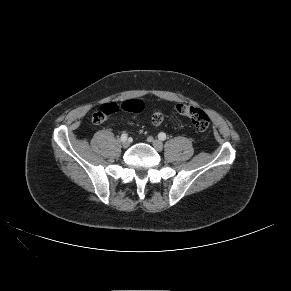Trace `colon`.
I'll return each mask as SVG.
<instances>
[{
    "mask_svg": "<svg viewBox=\"0 0 291 291\" xmlns=\"http://www.w3.org/2000/svg\"><path fill=\"white\" fill-rule=\"evenodd\" d=\"M143 108L144 103L139 99L126 100L120 105L114 102L106 103L93 114V121L95 123H101L119 110L139 113ZM176 111L178 114L189 118L194 128L198 131H206L210 125L209 116L200 108L181 103L176 106ZM163 120L164 115L160 111H155L151 116V121L154 125H160Z\"/></svg>",
    "mask_w": 291,
    "mask_h": 291,
    "instance_id": "1",
    "label": "colon"
}]
</instances>
